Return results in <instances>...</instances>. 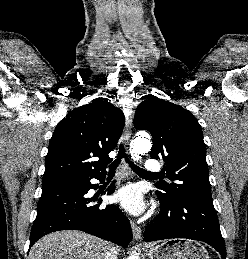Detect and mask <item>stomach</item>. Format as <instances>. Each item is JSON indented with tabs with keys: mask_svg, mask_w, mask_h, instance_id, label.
<instances>
[{
	"mask_svg": "<svg viewBox=\"0 0 248 259\" xmlns=\"http://www.w3.org/2000/svg\"><path fill=\"white\" fill-rule=\"evenodd\" d=\"M150 259H209L200 243L189 239H169L148 250Z\"/></svg>",
	"mask_w": 248,
	"mask_h": 259,
	"instance_id": "obj_1",
	"label": "stomach"
}]
</instances>
